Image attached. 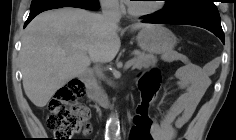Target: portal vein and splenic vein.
<instances>
[{
	"mask_svg": "<svg viewBox=\"0 0 236 140\" xmlns=\"http://www.w3.org/2000/svg\"><path fill=\"white\" fill-rule=\"evenodd\" d=\"M133 60H129V61H127L126 63H125V68L127 69V68H129V67H131L132 65H133Z\"/></svg>",
	"mask_w": 236,
	"mask_h": 140,
	"instance_id": "obj_1",
	"label": "portal vein and splenic vein"
}]
</instances>
